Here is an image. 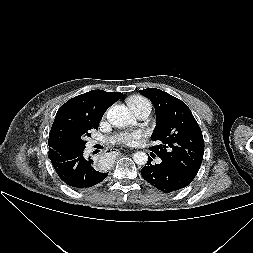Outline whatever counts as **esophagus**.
<instances>
[{"label": "esophagus", "mask_w": 253, "mask_h": 253, "mask_svg": "<svg viewBox=\"0 0 253 253\" xmlns=\"http://www.w3.org/2000/svg\"><path fill=\"white\" fill-rule=\"evenodd\" d=\"M110 151H111V153H115V154H119L120 153V151L118 149H111Z\"/></svg>", "instance_id": "1"}]
</instances>
